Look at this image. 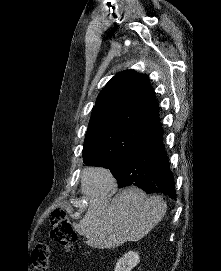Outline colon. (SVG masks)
Wrapping results in <instances>:
<instances>
[{
	"label": "colon",
	"mask_w": 221,
	"mask_h": 271,
	"mask_svg": "<svg viewBox=\"0 0 221 271\" xmlns=\"http://www.w3.org/2000/svg\"><path fill=\"white\" fill-rule=\"evenodd\" d=\"M49 222L51 224L50 237L56 242L74 248L77 241V231L70 223L69 215L63 208H55L49 213ZM50 249L47 244H38L29 255L30 265L39 271H46Z\"/></svg>",
	"instance_id": "colon-1"
}]
</instances>
